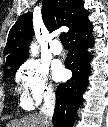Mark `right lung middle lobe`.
<instances>
[{"label":"right lung middle lobe","instance_id":"right-lung-middle-lobe-1","mask_svg":"<svg viewBox=\"0 0 108 127\" xmlns=\"http://www.w3.org/2000/svg\"><path fill=\"white\" fill-rule=\"evenodd\" d=\"M23 62L21 63H18V64H15V65H6L4 66V73L7 77L11 76L12 74H14L16 72V70L19 68V66L22 64Z\"/></svg>","mask_w":108,"mask_h":127}]
</instances>
